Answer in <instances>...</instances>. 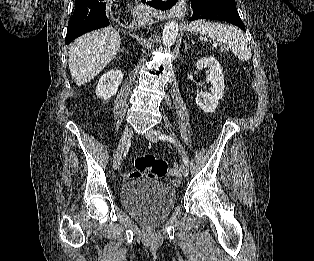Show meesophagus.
<instances>
[{
  "instance_id": "obj_1",
  "label": "esophagus",
  "mask_w": 314,
  "mask_h": 261,
  "mask_svg": "<svg viewBox=\"0 0 314 261\" xmlns=\"http://www.w3.org/2000/svg\"><path fill=\"white\" fill-rule=\"evenodd\" d=\"M167 1V0H166ZM167 6H166V9L161 11V13L164 14V16L166 17H170V16H174V15H177V16H182L184 14V10H183V7H184V4H183V0H178V2L171 6V3L170 2H166Z\"/></svg>"
}]
</instances>
